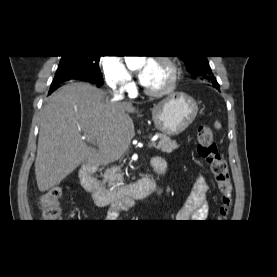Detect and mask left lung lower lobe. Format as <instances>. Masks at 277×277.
Listing matches in <instances>:
<instances>
[{
	"label": "left lung lower lobe",
	"mask_w": 277,
	"mask_h": 277,
	"mask_svg": "<svg viewBox=\"0 0 277 277\" xmlns=\"http://www.w3.org/2000/svg\"><path fill=\"white\" fill-rule=\"evenodd\" d=\"M213 86L219 90V84H217V85L213 84Z\"/></svg>",
	"instance_id": "obj_1"
}]
</instances>
